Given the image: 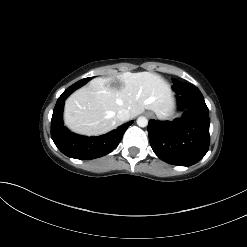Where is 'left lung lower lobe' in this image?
I'll list each match as a JSON object with an SVG mask.
<instances>
[{
  "instance_id": "1",
  "label": "left lung lower lobe",
  "mask_w": 247,
  "mask_h": 247,
  "mask_svg": "<svg viewBox=\"0 0 247 247\" xmlns=\"http://www.w3.org/2000/svg\"><path fill=\"white\" fill-rule=\"evenodd\" d=\"M180 118L160 122L150 120L148 134L151 147L163 161L190 166L200 161L209 148V109L197 87L173 79Z\"/></svg>"
}]
</instances>
